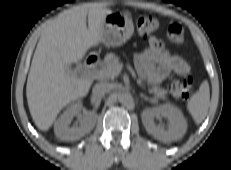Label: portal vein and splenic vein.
<instances>
[{"label": "portal vein and splenic vein", "instance_id": "obj_1", "mask_svg": "<svg viewBox=\"0 0 231 170\" xmlns=\"http://www.w3.org/2000/svg\"><path fill=\"white\" fill-rule=\"evenodd\" d=\"M122 68H123V64H118V65H115V66H111L107 70H99V71H97L95 73V76L97 78H114L120 73ZM68 71L71 74H76V72L71 70V69H69Z\"/></svg>", "mask_w": 231, "mask_h": 170}]
</instances>
